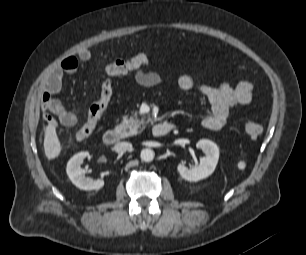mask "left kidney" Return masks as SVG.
I'll return each instance as SVG.
<instances>
[{
  "mask_svg": "<svg viewBox=\"0 0 306 255\" xmlns=\"http://www.w3.org/2000/svg\"><path fill=\"white\" fill-rule=\"evenodd\" d=\"M196 147L205 153V156L200 158V164L192 168H187L181 163L177 166L180 176L190 182H197L210 176L219 159V148L214 142L202 139L197 142Z\"/></svg>",
  "mask_w": 306,
  "mask_h": 255,
  "instance_id": "5707ae66",
  "label": "left kidney"
}]
</instances>
